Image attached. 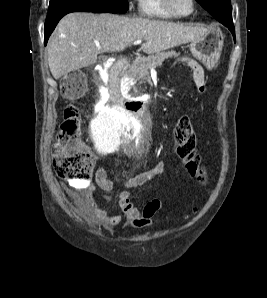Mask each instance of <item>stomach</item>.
Wrapping results in <instances>:
<instances>
[{
  "mask_svg": "<svg viewBox=\"0 0 267 298\" xmlns=\"http://www.w3.org/2000/svg\"><path fill=\"white\" fill-rule=\"evenodd\" d=\"M222 47L223 37L219 31H209L200 39L190 43L192 55L209 69L218 62Z\"/></svg>",
  "mask_w": 267,
  "mask_h": 298,
  "instance_id": "stomach-1",
  "label": "stomach"
}]
</instances>
